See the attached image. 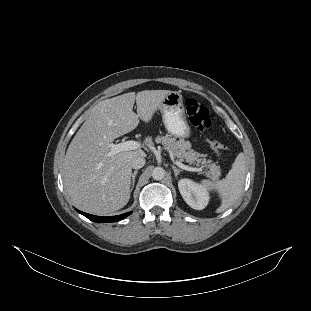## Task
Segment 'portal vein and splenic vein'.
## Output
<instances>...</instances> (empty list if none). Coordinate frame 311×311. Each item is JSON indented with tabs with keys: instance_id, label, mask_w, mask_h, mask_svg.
Returning <instances> with one entry per match:
<instances>
[{
	"instance_id": "18ae733b",
	"label": "portal vein and splenic vein",
	"mask_w": 311,
	"mask_h": 311,
	"mask_svg": "<svg viewBox=\"0 0 311 311\" xmlns=\"http://www.w3.org/2000/svg\"><path fill=\"white\" fill-rule=\"evenodd\" d=\"M138 142L135 141H122L117 144L113 143H106V147L110 149V153L108 154L109 157L122 152V151H129L133 150L138 147ZM178 167H180L183 170L190 171V172H199L201 173L203 171V167H192L187 166L181 162H177Z\"/></svg>"
}]
</instances>
